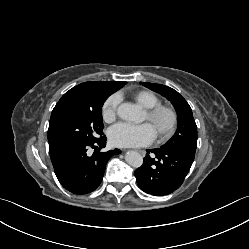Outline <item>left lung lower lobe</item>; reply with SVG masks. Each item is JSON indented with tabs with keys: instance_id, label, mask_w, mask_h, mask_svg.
<instances>
[{
	"instance_id": "obj_1",
	"label": "left lung lower lobe",
	"mask_w": 249,
	"mask_h": 249,
	"mask_svg": "<svg viewBox=\"0 0 249 249\" xmlns=\"http://www.w3.org/2000/svg\"><path fill=\"white\" fill-rule=\"evenodd\" d=\"M154 153L155 158L149 154ZM195 152L156 148L147 150L143 165L135 171L139 187L154 196L170 194L183 183Z\"/></svg>"
}]
</instances>
